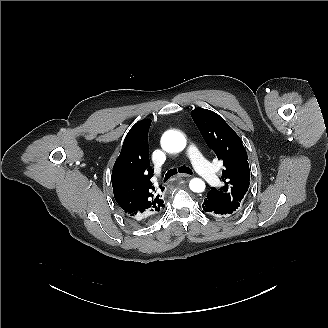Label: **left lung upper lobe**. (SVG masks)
Wrapping results in <instances>:
<instances>
[{"mask_svg":"<svg viewBox=\"0 0 328 328\" xmlns=\"http://www.w3.org/2000/svg\"><path fill=\"white\" fill-rule=\"evenodd\" d=\"M191 116L207 145L223 161L221 189L211 188L207 198L228 213L238 209L250 184L248 156L240 137L217 113L196 108Z\"/></svg>","mask_w":328,"mask_h":328,"instance_id":"5c2ea615","label":"left lung upper lobe"}]
</instances>
